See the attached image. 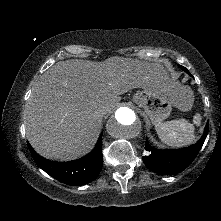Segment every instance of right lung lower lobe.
<instances>
[{
    "mask_svg": "<svg viewBox=\"0 0 221 221\" xmlns=\"http://www.w3.org/2000/svg\"><path fill=\"white\" fill-rule=\"evenodd\" d=\"M28 148L36 164L50 176L62 183L79 186L87 184L99 175L103 165L102 135L95 148L88 155L69 162H53L39 156L28 143Z\"/></svg>",
    "mask_w": 221,
    "mask_h": 221,
    "instance_id": "obj_1",
    "label": "right lung lower lobe"
}]
</instances>
